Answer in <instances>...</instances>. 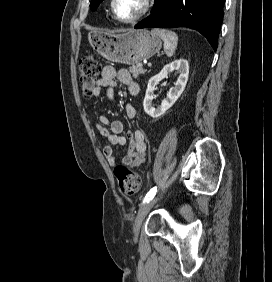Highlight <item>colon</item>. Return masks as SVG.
Masks as SVG:
<instances>
[{
    "label": "colon",
    "instance_id": "5ec220e1",
    "mask_svg": "<svg viewBox=\"0 0 272 282\" xmlns=\"http://www.w3.org/2000/svg\"><path fill=\"white\" fill-rule=\"evenodd\" d=\"M80 69L84 94L90 96L97 87L100 73V65L95 55L88 53L83 56L80 60ZM114 174L122 194L131 196L139 190L141 178L137 173L132 172L125 166H117L114 169Z\"/></svg>",
    "mask_w": 272,
    "mask_h": 282
}]
</instances>
